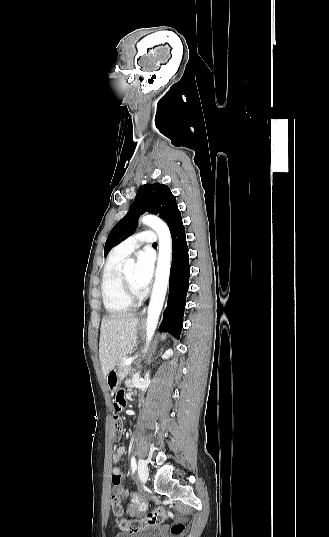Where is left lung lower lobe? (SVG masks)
Instances as JSON below:
<instances>
[{
	"mask_svg": "<svg viewBox=\"0 0 329 537\" xmlns=\"http://www.w3.org/2000/svg\"><path fill=\"white\" fill-rule=\"evenodd\" d=\"M171 237L172 265L170 269L168 305L164 311L160 329L179 337L190 275L188 246L183 223L173 231Z\"/></svg>",
	"mask_w": 329,
	"mask_h": 537,
	"instance_id": "0a47b994",
	"label": "left lung lower lobe"
}]
</instances>
